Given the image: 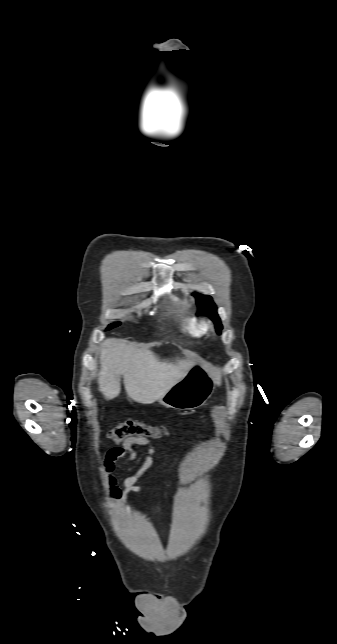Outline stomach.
Returning a JSON list of instances; mask_svg holds the SVG:
<instances>
[{
	"mask_svg": "<svg viewBox=\"0 0 337 644\" xmlns=\"http://www.w3.org/2000/svg\"><path fill=\"white\" fill-rule=\"evenodd\" d=\"M213 389L214 380L210 366L205 362H196L187 375L158 401L175 410H193L206 402Z\"/></svg>",
	"mask_w": 337,
	"mask_h": 644,
	"instance_id": "stomach-1",
	"label": "stomach"
}]
</instances>
